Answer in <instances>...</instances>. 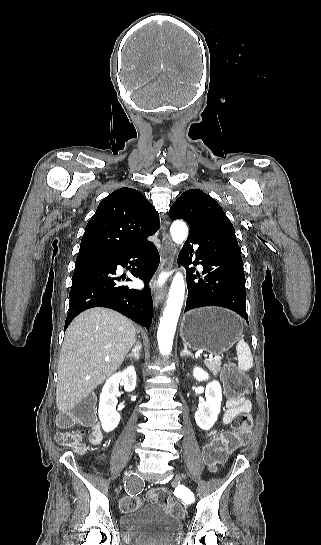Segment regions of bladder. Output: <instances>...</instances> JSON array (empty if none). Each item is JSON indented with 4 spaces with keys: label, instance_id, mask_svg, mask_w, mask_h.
Masks as SVG:
<instances>
[{
    "label": "bladder",
    "instance_id": "bladder-1",
    "mask_svg": "<svg viewBox=\"0 0 321 545\" xmlns=\"http://www.w3.org/2000/svg\"><path fill=\"white\" fill-rule=\"evenodd\" d=\"M119 522L130 545H171L182 533L181 521L154 503L122 514Z\"/></svg>",
    "mask_w": 321,
    "mask_h": 545
}]
</instances>
